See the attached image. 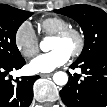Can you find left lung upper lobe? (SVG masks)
<instances>
[{
	"label": "left lung upper lobe",
	"mask_w": 107,
	"mask_h": 107,
	"mask_svg": "<svg viewBox=\"0 0 107 107\" xmlns=\"http://www.w3.org/2000/svg\"><path fill=\"white\" fill-rule=\"evenodd\" d=\"M54 11L73 18L83 30L85 46L77 61H83L98 52L107 51L106 12L89 5H72Z\"/></svg>",
	"instance_id": "1"
}]
</instances>
